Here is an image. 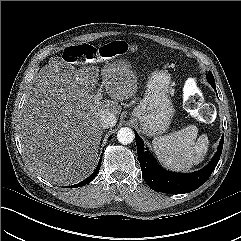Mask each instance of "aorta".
<instances>
[{
	"mask_svg": "<svg viewBox=\"0 0 241 241\" xmlns=\"http://www.w3.org/2000/svg\"><path fill=\"white\" fill-rule=\"evenodd\" d=\"M117 139L121 144H130L134 140V132L129 127H123L118 131Z\"/></svg>",
	"mask_w": 241,
	"mask_h": 241,
	"instance_id": "762f6f07",
	"label": "aorta"
}]
</instances>
